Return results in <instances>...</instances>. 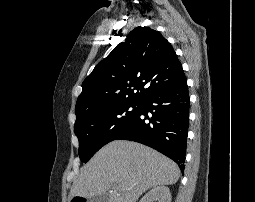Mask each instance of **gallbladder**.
<instances>
[{"label": "gallbladder", "mask_w": 255, "mask_h": 202, "mask_svg": "<svg viewBox=\"0 0 255 202\" xmlns=\"http://www.w3.org/2000/svg\"><path fill=\"white\" fill-rule=\"evenodd\" d=\"M89 202H108V195L103 193L101 195H96L89 199Z\"/></svg>", "instance_id": "1"}]
</instances>
